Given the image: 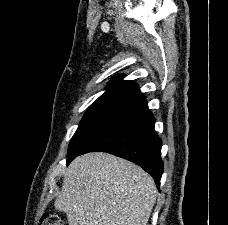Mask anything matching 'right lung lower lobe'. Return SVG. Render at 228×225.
<instances>
[{"mask_svg":"<svg viewBox=\"0 0 228 225\" xmlns=\"http://www.w3.org/2000/svg\"><path fill=\"white\" fill-rule=\"evenodd\" d=\"M155 118L145 97L136 96L112 116L94 128L67 155V164L75 157L103 151L127 159L142 167L159 189L163 173L161 139L154 130Z\"/></svg>","mask_w":228,"mask_h":225,"instance_id":"right-lung-lower-lobe-1","label":"right lung lower lobe"}]
</instances>
